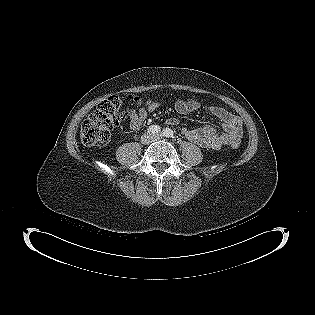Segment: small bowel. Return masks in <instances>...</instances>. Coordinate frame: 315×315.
Returning a JSON list of instances; mask_svg holds the SVG:
<instances>
[{
  "label": "small bowel",
  "instance_id": "c3829d8e",
  "mask_svg": "<svg viewBox=\"0 0 315 315\" xmlns=\"http://www.w3.org/2000/svg\"><path fill=\"white\" fill-rule=\"evenodd\" d=\"M161 106V102L153 101L135 111L128 110L130 126L132 129H139L150 112ZM201 108L199 102L195 100H178L175 103V110L179 114H187L198 111ZM209 111L221 122L222 132H218L214 127L206 125L199 128H183L182 133L186 138L204 149H218L223 145L239 143L242 137V120L228 112L226 109L218 106H211ZM171 126L179 124L177 118L171 117L166 120Z\"/></svg>",
  "mask_w": 315,
  "mask_h": 315
}]
</instances>
